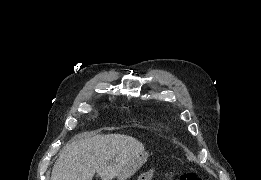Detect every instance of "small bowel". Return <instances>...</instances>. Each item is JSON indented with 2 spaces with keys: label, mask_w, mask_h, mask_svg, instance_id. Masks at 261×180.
<instances>
[{
  "label": "small bowel",
  "mask_w": 261,
  "mask_h": 180,
  "mask_svg": "<svg viewBox=\"0 0 261 180\" xmlns=\"http://www.w3.org/2000/svg\"><path fill=\"white\" fill-rule=\"evenodd\" d=\"M157 173V169L156 168H153V169H150L149 171L143 173L141 176H140V179L141 180H151Z\"/></svg>",
  "instance_id": "small-bowel-1"
}]
</instances>
